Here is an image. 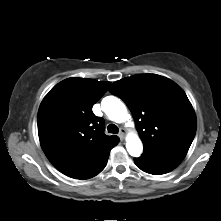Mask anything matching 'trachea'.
Here are the masks:
<instances>
[{
	"label": "trachea",
	"mask_w": 221,
	"mask_h": 221,
	"mask_svg": "<svg viewBox=\"0 0 221 221\" xmlns=\"http://www.w3.org/2000/svg\"><path fill=\"white\" fill-rule=\"evenodd\" d=\"M107 130L109 133H113V134H117L119 131L118 127L114 124L108 125Z\"/></svg>",
	"instance_id": "1"
}]
</instances>
